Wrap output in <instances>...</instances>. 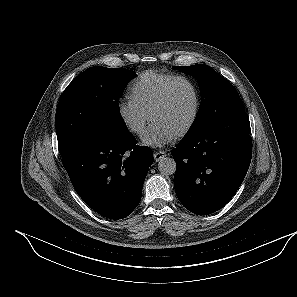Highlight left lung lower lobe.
<instances>
[{"label":"left lung lower lobe","mask_w":297,"mask_h":297,"mask_svg":"<svg viewBox=\"0 0 297 297\" xmlns=\"http://www.w3.org/2000/svg\"><path fill=\"white\" fill-rule=\"evenodd\" d=\"M175 192L189 211L207 215L235 195L251 162L248 114L237 112L190 132L171 152Z\"/></svg>","instance_id":"1"}]
</instances>
